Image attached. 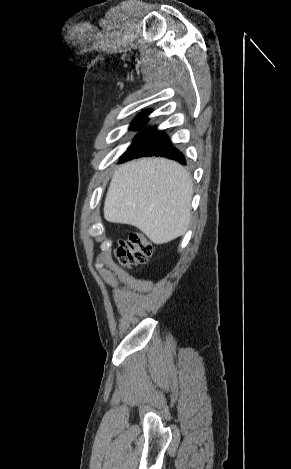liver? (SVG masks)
I'll return each mask as SVG.
<instances>
[{
	"instance_id": "6515ba94",
	"label": "liver",
	"mask_w": 291,
	"mask_h": 469,
	"mask_svg": "<svg viewBox=\"0 0 291 469\" xmlns=\"http://www.w3.org/2000/svg\"><path fill=\"white\" fill-rule=\"evenodd\" d=\"M192 179L177 162L142 158L115 170L104 203V218L132 225L154 244L186 233L191 219Z\"/></svg>"
}]
</instances>
